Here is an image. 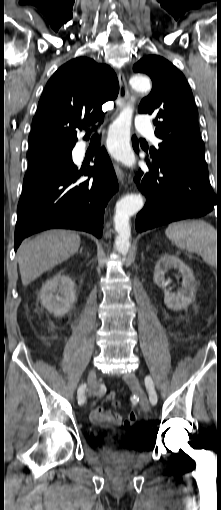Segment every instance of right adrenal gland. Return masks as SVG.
Wrapping results in <instances>:
<instances>
[{
    "instance_id": "right-adrenal-gland-1",
    "label": "right adrenal gland",
    "mask_w": 221,
    "mask_h": 510,
    "mask_svg": "<svg viewBox=\"0 0 221 510\" xmlns=\"http://www.w3.org/2000/svg\"><path fill=\"white\" fill-rule=\"evenodd\" d=\"M82 250H83V247H81L80 250H79L80 254H83Z\"/></svg>"
}]
</instances>
